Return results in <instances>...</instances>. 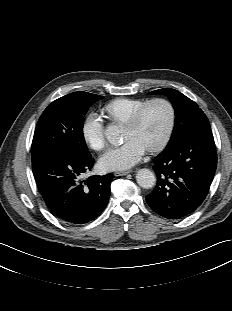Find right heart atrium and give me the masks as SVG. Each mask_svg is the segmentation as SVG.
I'll use <instances>...</instances> for the list:
<instances>
[{
    "instance_id": "1",
    "label": "right heart atrium",
    "mask_w": 232,
    "mask_h": 311,
    "mask_svg": "<svg viewBox=\"0 0 232 311\" xmlns=\"http://www.w3.org/2000/svg\"><path fill=\"white\" fill-rule=\"evenodd\" d=\"M85 142L94 150L100 151L106 146V131L102 119L95 113L89 114L82 125Z\"/></svg>"
}]
</instances>
